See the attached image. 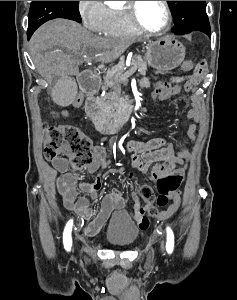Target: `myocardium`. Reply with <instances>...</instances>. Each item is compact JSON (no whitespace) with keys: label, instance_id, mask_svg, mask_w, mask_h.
Masks as SVG:
<instances>
[{"label":"myocardium","instance_id":"obj_1","mask_svg":"<svg viewBox=\"0 0 237 300\" xmlns=\"http://www.w3.org/2000/svg\"><path fill=\"white\" fill-rule=\"evenodd\" d=\"M164 8H165V12H166V22L164 27L161 30L158 31H154V30H150L147 27H145L138 16V6H139V1H127V3L125 4L124 8L127 12V15L132 23V25L140 32L142 33H147L150 35H156V36H161L166 34L172 24V12H171V7L169 4V1H162Z\"/></svg>","mask_w":237,"mask_h":300}]
</instances>
